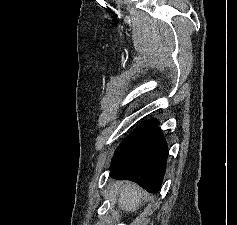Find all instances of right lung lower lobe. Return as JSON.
<instances>
[{
    "label": "right lung lower lobe",
    "instance_id": "1",
    "mask_svg": "<svg viewBox=\"0 0 237 225\" xmlns=\"http://www.w3.org/2000/svg\"><path fill=\"white\" fill-rule=\"evenodd\" d=\"M168 149L156 120L137 127L118 147L112 159L110 176L131 180L150 193L160 190Z\"/></svg>",
    "mask_w": 237,
    "mask_h": 225
}]
</instances>
